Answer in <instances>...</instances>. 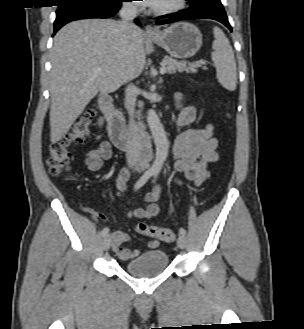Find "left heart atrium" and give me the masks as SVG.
<instances>
[{
    "label": "left heart atrium",
    "instance_id": "obj_1",
    "mask_svg": "<svg viewBox=\"0 0 304 329\" xmlns=\"http://www.w3.org/2000/svg\"><path fill=\"white\" fill-rule=\"evenodd\" d=\"M158 0H143V4L149 7H154Z\"/></svg>",
    "mask_w": 304,
    "mask_h": 329
}]
</instances>
